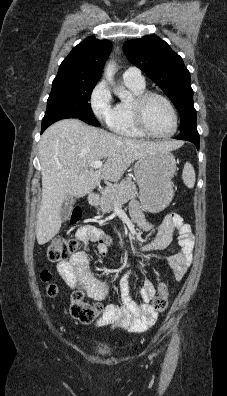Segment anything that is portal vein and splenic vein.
Listing matches in <instances>:
<instances>
[{
  "mask_svg": "<svg viewBox=\"0 0 227 396\" xmlns=\"http://www.w3.org/2000/svg\"><path fill=\"white\" fill-rule=\"evenodd\" d=\"M102 165H103V162H102V161H94V162H92V163L90 164V167H91V168H94V169H98V168H101Z\"/></svg>",
  "mask_w": 227,
  "mask_h": 396,
  "instance_id": "obj_1",
  "label": "portal vein and splenic vein"
}]
</instances>
